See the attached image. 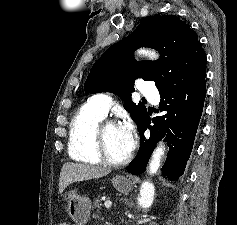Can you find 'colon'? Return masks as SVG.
<instances>
[{
    "label": "colon",
    "mask_w": 237,
    "mask_h": 225,
    "mask_svg": "<svg viewBox=\"0 0 237 225\" xmlns=\"http://www.w3.org/2000/svg\"><path fill=\"white\" fill-rule=\"evenodd\" d=\"M57 225H69L66 220H60Z\"/></svg>",
    "instance_id": "5ec220e1"
}]
</instances>
